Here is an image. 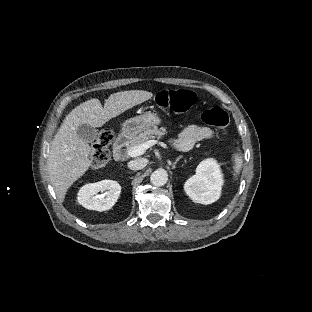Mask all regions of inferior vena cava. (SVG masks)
<instances>
[{
	"label": "inferior vena cava",
	"instance_id": "obj_1",
	"mask_svg": "<svg viewBox=\"0 0 312 312\" xmlns=\"http://www.w3.org/2000/svg\"><path fill=\"white\" fill-rule=\"evenodd\" d=\"M147 165V159L145 158H137L128 163V167L131 170H140L143 169Z\"/></svg>",
	"mask_w": 312,
	"mask_h": 312
}]
</instances>
